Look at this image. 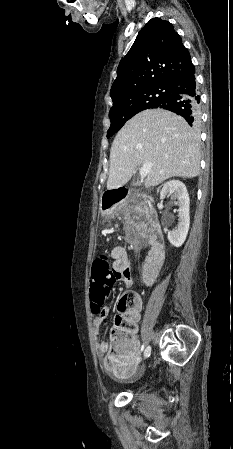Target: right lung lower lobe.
Returning <instances> with one entry per match:
<instances>
[{"instance_id": "1", "label": "right lung lower lobe", "mask_w": 233, "mask_h": 449, "mask_svg": "<svg viewBox=\"0 0 233 449\" xmlns=\"http://www.w3.org/2000/svg\"><path fill=\"white\" fill-rule=\"evenodd\" d=\"M169 95L155 108L175 112L191 126H197L200 118V95L196 86L195 71L168 84Z\"/></svg>"}]
</instances>
